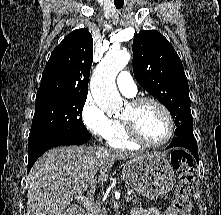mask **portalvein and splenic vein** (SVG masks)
Wrapping results in <instances>:
<instances>
[{"mask_svg": "<svg viewBox=\"0 0 221 215\" xmlns=\"http://www.w3.org/2000/svg\"><path fill=\"white\" fill-rule=\"evenodd\" d=\"M78 200H81L83 202V204L90 210H96L97 209V206H95L88 198L82 196V194H79L77 197H76ZM126 200H129V196H127L125 198Z\"/></svg>", "mask_w": 221, "mask_h": 215, "instance_id": "1", "label": "portal vein and splenic vein"}]
</instances>
